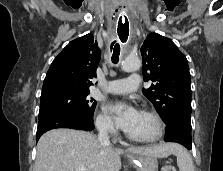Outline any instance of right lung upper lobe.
<instances>
[{"mask_svg": "<svg viewBox=\"0 0 223 171\" xmlns=\"http://www.w3.org/2000/svg\"><path fill=\"white\" fill-rule=\"evenodd\" d=\"M101 51L87 34L71 41L52 62L45 77L41 98L63 92L88 91L96 77Z\"/></svg>", "mask_w": 223, "mask_h": 171, "instance_id": "obj_1", "label": "right lung upper lobe"}]
</instances>
